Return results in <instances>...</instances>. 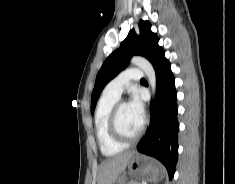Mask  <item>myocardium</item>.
Returning <instances> with one entry per match:
<instances>
[{"label": "myocardium", "mask_w": 235, "mask_h": 184, "mask_svg": "<svg viewBox=\"0 0 235 184\" xmlns=\"http://www.w3.org/2000/svg\"><path fill=\"white\" fill-rule=\"evenodd\" d=\"M123 105H126L125 102L123 101H119L117 102L114 107L112 108L111 112H110V116H109V131L111 133V135L119 142L123 143V144H132V143H136L138 142L145 131L146 128V124H147V119L143 118V123L142 126L138 132V134L134 137H127L126 135H124V133L121 131L120 126H119V122H118V115H119V111L121 109V107Z\"/></svg>", "instance_id": "obj_1"}]
</instances>
